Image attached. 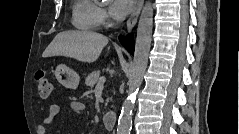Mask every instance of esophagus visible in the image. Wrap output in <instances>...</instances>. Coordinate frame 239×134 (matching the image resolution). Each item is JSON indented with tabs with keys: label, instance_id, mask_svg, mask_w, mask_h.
<instances>
[{
	"label": "esophagus",
	"instance_id": "esophagus-1",
	"mask_svg": "<svg viewBox=\"0 0 239 134\" xmlns=\"http://www.w3.org/2000/svg\"><path fill=\"white\" fill-rule=\"evenodd\" d=\"M143 4H144V0L137 1V4H136L130 18L128 19L127 24H126V29L128 32H130L133 29V27L135 26L137 19L139 17V14L141 12V9L143 7Z\"/></svg>",
	"mask_w": 239,
	"mask_h": 134
}]
</instances>
